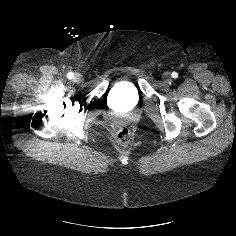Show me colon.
<instances>
[{
    "label": "colon",
    "instance_id": "obj_1",
    "mask_svg": "<svg viewBox=\"0 0 236 236\" xmlns=\"http://www.w3.org/2000/svg\"><path fill=\"white\" fill-rule=\"evenodd\" d=\"M131 139V132L128 127H121L114 136V140L119 145H127Z\"/></svg>",
    "mask_w": 236,
    "mask_h": 236
}]
</instances>
